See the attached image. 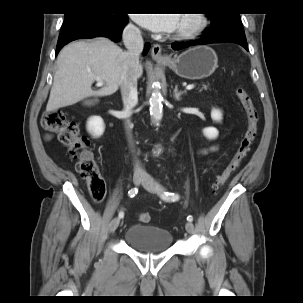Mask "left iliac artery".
Here are the masks:
<instances>
[{"label": "left iliac artery", "mask_w": 303, "mask_h": 303, "mask_svg": "<svg viewBox=\"0 0 303 303\" xmlns=\"http://www.w3.org/2000/svg\"><path fill=\"white\" fill-rule=\"evenodd\" d=\"M161 197L165 200H172V201H177L179 199V195L178 194H174V193H169V192H164ZM187 220L189 222L193 221V217L191 215H189L187 217Z\"/></svg>", "instance_id": "obj_1"}]
</instances>
